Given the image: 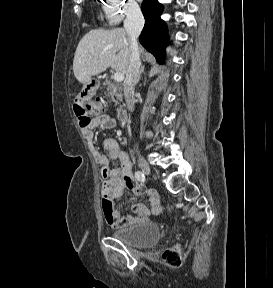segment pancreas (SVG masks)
Instances as JSON below:
<instances>
[{
    "label": "pancreas",
    "instance_id": "pancreas-1",
    "mask_svg": "<svg viewBox=\"0 0 273 288\" xmlns=\"http://www.w3.org/2000/svg\"><path fill=\"white\" fill-rule=\"evenodd\" d=\"M105 84L107 86V95L111 97L112 102L118 104L122 99L121 87L117 83L108 80L105 81Z\"/></svg>",
    "mask_w": 273,
    "mask_h": 288
}]
</instances>
